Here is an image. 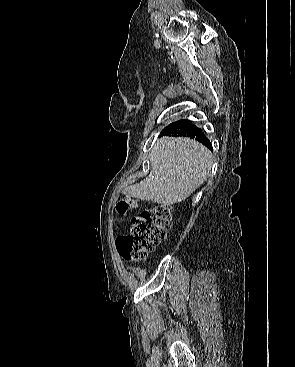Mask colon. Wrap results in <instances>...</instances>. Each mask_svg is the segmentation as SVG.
<instances>
[{"mask_svg":"<svg viewBox=\"0 0 295 367\" xmlns=\"http://www.w3.org/2000/svg\"><path fill=\"white\" fill-rule=\"evenodd\" d=\"M138 207V201L127 197L116 205L118 213L124 214ZM172 223L170 208L156 205L142 210L131 218L127 235L117 239V250L125 260H144L166 237Z\"/></svg>","mask_w":295,"mask_h":367,"instance_id":"1","label":"colon"}]
</instances>
